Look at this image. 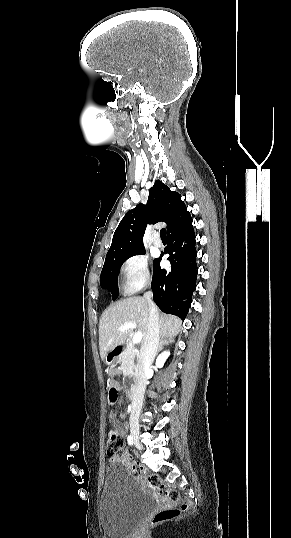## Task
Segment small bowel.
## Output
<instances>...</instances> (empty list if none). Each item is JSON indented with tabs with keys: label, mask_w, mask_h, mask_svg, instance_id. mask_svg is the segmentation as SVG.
I'll use <instances>...</instances> for the list:
<instances>
[{
	"label": "small bowel",
	"mask_w": 291,
	"mask_h": 538,
	"mask_svg": "<svg viewBox=\"0 0 291 538\" xmlns=\"http://www.w3.org/2000/svg\"><path fill=\"white\" fill-rule=\"evenodd\" d=\"M119 374L118 370H112L108 377V384L110 389H115L117 392L119 390V384L116 380V376ZM119 417H123L122 414H119L116 410H113L110 415V420L114 428L119 432L121 436L126 433L125 425L119 420ZM131 458L129 451H125L120 455H115L110 457V462L112 463H126L130 464Z\"/></svg>",
	"instance_id": "obj_1"
}]
</instances>
